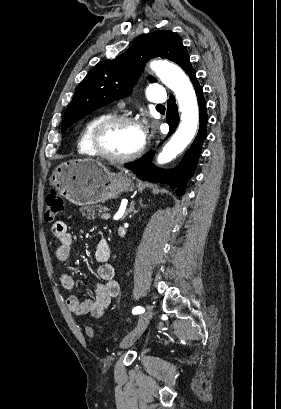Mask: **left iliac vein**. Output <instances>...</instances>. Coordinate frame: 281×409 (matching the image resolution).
Instances as JSON below:
<instances>
[{
    "label": "left iliac vein",
    "mask_w": 281,
    "mask_h": 409,
    "mask_svg": "<svg viewBox=\"0 0 281 409\" xmlns=\"http://www.w3.org/2000/svg\"><path fill=\"white\" fill-rule=\"evenodd\" d=\"M146 307L147 309H150L149 305H147ZM150 317H151L150 314H144L140 317L136 328L131 333H129L121 342L120 347L122 349L130 347L136 341V339L145 331V329L148 326Z\"/></svg>",
    "instance_id": "1"
}]
</instances>
